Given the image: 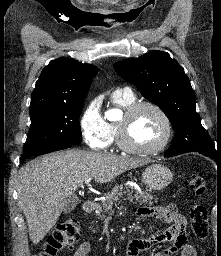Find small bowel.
<instances>
[{
    "label": "small bowel",
    "mask_w": 221,
    "mask_h": 256,
    "mask_svg": "<svg viewBox=\"0 0 221 256\" xmlns=\"http://www.w3.org/2000/svg\"><path fill=\"white\" fill-rule=\"evenodd\" d=\"M137 214L141 217L162 219L166 223H171V226L165 231L150 237L132 240L128 246V256H137L141 251L167 242L172 243L171 247L164 251L156 252L154 256H196V250L187 238V220L184 215L178 212L174 204L153 208L141 207L138 209ZM91 249L92 243L85 241L79 245L73 256H86Z\"/></svg>",
    "instance_id": "obj_1"
}]
</instances>
